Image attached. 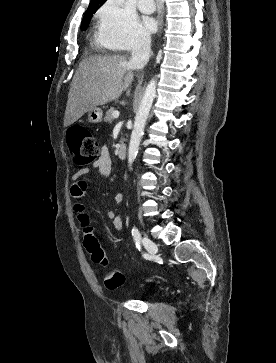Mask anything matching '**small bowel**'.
Listing matches in <instances>:
<instances>
[{"label":"small bowel","mask_w":276,"mask_h":363,"mask_svg":"<svg viewBox=\"0 0 276 363\" xmlns=\"http://www.w3.org/2000/svg\"><path fill=\"white\" fill-rule=\"evenodd\" d=\"M93 168L97 169L98 172L104 176L108 177L112 173V160L107 147H103L101 150V154L98 159L93 163ZM91 171V168H83L78 170L72 176V184L70 186V196L77 203L76 204V212L79 214L81 221L83 223V237L87 234H94L92 226H90L87 221V215L84 212V206L82 205V201L84 200L87 190H88V182L85 176ZM124 200V195L122 193H117L114 196V202L116 204L122 203ZM105 214L107 218L112 220L113 226L116 230L120 231L123 228V221L118 212L105 209ZM85 216V224L82 220V217Z\"/></svg>","instance_id":"c3829d8e"}]
</instances>
